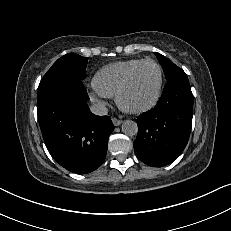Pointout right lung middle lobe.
<instances>
[{
    "mask_svg": "<svg viewBox=\"0 0 231 231\" xmlns=\"http://www.w3.org/2000/svg\"><path fill=\"white\" fill-rule=\"evenodd\" d=\"M87 57L69 53L59 58L39 84V89L45 85L62 78L84 79L86 76Z\"/></svg>",
    "mask_w": 231,
    "mask_h": 231,
    "instance_id": "1",
    "label": "right lung middle lobe"
}]
</instances>
